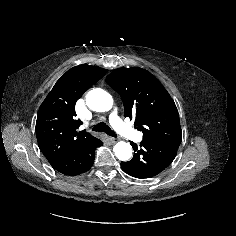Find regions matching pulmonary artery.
Instances as JSON below:
<instances>
[{"label":"pulmonary artery","mask_w":236,"mask_h":236,"mask_svg":"<svg viewBox=\"0 0 236 236\" xmlns=\"http://www.w3.org/2000/svg\"><path fill=\"white\" fill-rule=\"evenodd\" d=\"M110 122L114 129L124 136L127 139L134 140L136 142L142 139V135L137 130L131 128L130 126L126 125L118 116L117 110L114 109L110 114Z\"/></svg>","instance_id":"pulmonary-artery-1"}]
</instances>
